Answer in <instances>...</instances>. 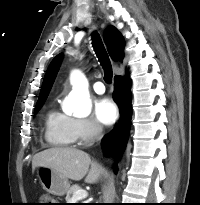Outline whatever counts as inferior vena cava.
<instances>
[{"label":"inferior vena cava","instance_id":"602c4592","mask_svg":"<svg viewBox=\"0 0 200 205\" xmlns=\"http://www.w3.org/2000/svg\"><path fill=\"white\" fill-rule=\"evenodd\" d=\"M102 129L99 125H94L93 127V134L96 139H99L101 137Z\"/></svg>","mask_w":200,"mask_h":205}]
</instances>
